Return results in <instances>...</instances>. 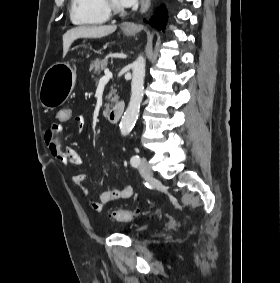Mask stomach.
Listing matches in <instances>:
<instances>
[{
    "label": "stomach",
    "instance_id": "obj_1",
    "mask_svg": "<svg viewBox=\"0 0 280 283\" xmlns=\"http://www.w3.org/2000/svg\"><path fill=\"white\" fill-rule=\"evenodd\" d=\"M126 36L136 34L134 28H123ZM76 82V71L69 63L51 65L43 75L39 100L43 107L54 108L62 105L70 96Z\"/></svg>",
    "mask_w": 280,
    "mask_h": 283
}]
</instances>
